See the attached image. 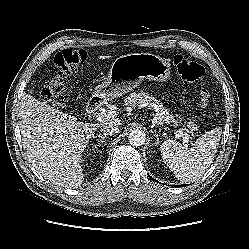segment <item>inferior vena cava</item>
Listing matches in <instances>:
<instances>
[{"mask_svg":"<svg viewBox=\"0 0 249 249\" xmlns=\"http://www.w3.org/2000/svg\"><path fill=\"white\" fill-rule=\"evenodd\" d=\"M101 130L109 134L118 133L120 131V124L116 122H107L100 126Z\"/></svg>","mask_w":249,"mask_h":249,"instance_id":"obj_1","label":"inferior vena cava"}]
</instances>
